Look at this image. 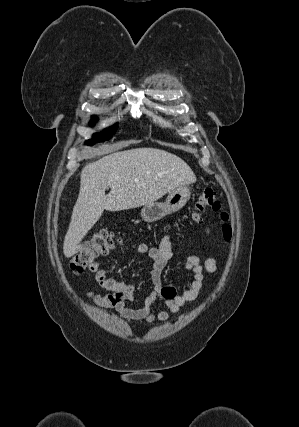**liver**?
<instances>
[{
    "instance_id": "1",
    "label": "liver",
    "mask_w": 299,
    "mask_h": 427,
    "mask_svg": "<svg viewBox=\"0 0 299 427\" xmlns=\"http://www.w3.org/2000/svg\"><path fill=\"white\" fill-rule=\"evenodd\" d=\"M196 182L192 169L178 156L156 148L114 152L84 166L80 190L64 238L66 258L77 254L103 211L144 206L175 188ZM110 188L109 194L105 190Z\"/></svg>"
}]
</instances>
